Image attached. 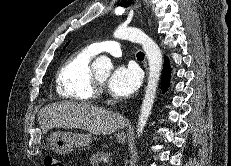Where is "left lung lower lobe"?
<instances>
[{
  "instance_id": "left-lung-lower-lobe-1",
  "label": "left lung lower lobe",
  "mask_w": 231,
  "mask_h": 166,
  "mask_svg": "<svg viewBox=\"0 0 231 166\" xmlns=\"http://www.w3.org/2000/svg\"><path fill=\"white\" fill-rule=\"evenodd\" d=\"M169 79H170V66H169L168 59L165 58L164 68H163V75H162L163 91H165L168 88Z\"/></svg>"
}]
</instances>
